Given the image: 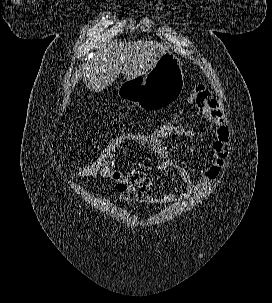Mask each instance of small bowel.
<instances>
[{
    "instance_id": "small-bowel-1",
    "label": "small bowel",
    "mask_w": 272,
    "mask_h": 303,
    "mask_svg": "<svg viewBox=\"0 0 272 303\" xmlns=\"http://www.w3.org/2000/svg\"><path fill=\"white\" fill-rule=\"evenodd\" d=\"M188 103L195 107L197 112L209 123V146L210 153L207 164L198 172L196 179L182 166H178L170 158L168 147L164 143L154 145H142L145 149L160 159L158 169L167 171L174 169L181 177L184 191L178 193L177 190L170 191L164 196H148L147 200L156 205L184 202L190 199L197 192L214 182L220 174L221 168L228 157L229 129L225 124L223 112L218 102L211 98L209 92L203 86L194 88L189 96ZM178 138L188 139L194 136V131L184 127L174 135ZM140 170L120 172L115 169L113 172L102 175L103 178L110 179L114 183L115 190L122 196H128L135 191L142 181Z\"/></svg>"
}]
</instances>
